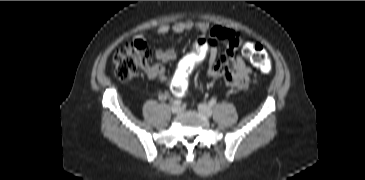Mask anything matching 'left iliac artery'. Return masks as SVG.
<instances>
[{
	"label": "left iliac artery",
	"mask_w": 365,
	"mask_h": 180,
	"mask_svg": "<svg viewBox=\"0 0 365 180\" xmlns=\"http://www.w3.org/2000/svg\"><path fill=\"white\" fill-rule=\"evenodd\" d=\"M215 104H216V99H211L210 102H209V105L213 106Z\"/></svg>",
	"instance_id": "obj_1"
}]
</instances>
